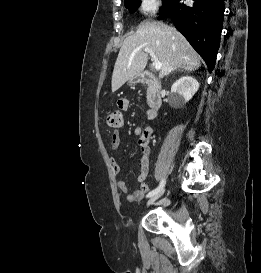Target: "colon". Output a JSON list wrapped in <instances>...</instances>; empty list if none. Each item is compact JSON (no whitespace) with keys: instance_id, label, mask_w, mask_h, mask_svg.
Returning <instances> with one entry per match:
<instances>
[{"instance_id":"5ec220e1","label":"colon","mask_w":261,"mask_h":273,"mask_svg":"<svg viewBox=\"0 0 261 273\" xmlns=\"http://www.w3.org/2000/svg\"><path fill=\"white\" fill-rule=\"evenodd\" d=\"M107 123L111 127H119L122 124V113L118 110L112 111L107 117Z\"/></svg>"}]
</instances>
